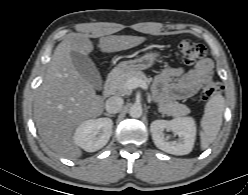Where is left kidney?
<instances>
[{
	"mask_svg": "<svg viewBox=\"0 0 248 195\" xmlns=\"http://www.w3.org/2000/svg\"><path fill=\"white\" fill-rule=\"evenodd\" d=\"M171 131L179 136L178 140H168L164 131ZM154 144L170 154L185 155L192 151L196 138V124L191 117H179L173 120H155L150 125Z\"/></svg>",
	"mask_w": 248,
	"mask_h": 195,
	"instance_id": "obj_1",
	"label": "left kidney"
}]
</instances>
